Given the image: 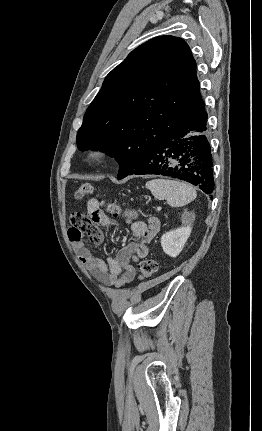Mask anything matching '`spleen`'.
I'll use <instances>...</instances> for the list:
<instances>
[{
    "label": "spleen",
    "mask_w": 262,
    "mask_h": 431,
    "mask_svg": "<svg viewBox=\"0 0 262 431\" xmlns=\"http://www.w3.org/2000/svg\"><path fill=\"white\" fill-rule=\"evenodd\" d=\"M146 188L155 198L166 200L173 207L185 206L197 196L196 190L190 184L176 180L153 179L146 183Z\"/></svg>",
    "instance_id": "obj_1"
}]
</instances>
